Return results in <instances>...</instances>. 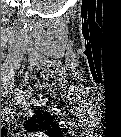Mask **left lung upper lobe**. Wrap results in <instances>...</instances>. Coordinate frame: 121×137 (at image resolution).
<instances>
[{"label":"left lung upper lobe","mask_w":121,"mask_h":137,"mask_svg":"<svg viewBox=\"0 0 121 137\" xmlns=\"http://www.w3.org/2000/svg\"><path fill=\"white\" fill-rule=\"evenodd\" d=\"M36 116L31 118L24 124V127L28 131H44L45 133H53L58 130V124L47 112L35 111Z\"/></svg>","instance_id":"5c2ea615"}]
</instances>
